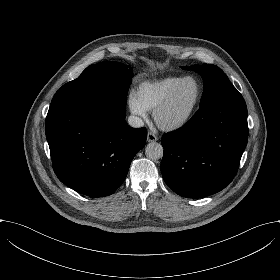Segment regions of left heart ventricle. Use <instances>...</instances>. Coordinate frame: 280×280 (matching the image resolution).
Segmentation results:
<instances>
[{"label": "left heart ventricle", "instance_id": "1", "mask_svg": "<svg viewBox=\"0 0 280 280\" xmlns=\"http://www.w3.org/2000/svg\"><path fill=\"white\" fill-rule=\"evenodd\" d=\"M199 92V83L195 79L185 81L165 118L172 120L187 114L195 106Z\"/></svg>", "mask_w": 280, "mask_h": 280}]
</instances>
